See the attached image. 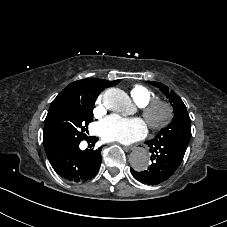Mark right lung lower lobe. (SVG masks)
Here are the masks:
<instances>
[{
	"label": "right lung lower lobe",
	"mask_w": 227,
	"mask_h": 227,
	"mask_svg": "<svg viewBox=\"0 0 227 227\" xmlns=\"http://www.w3.org/2000/svg\"><path fill=\"white\" fill-rule=\"evenodd\" d=\"M85 139L95 142L97 138ZM80 142L66 144L47 153L54 170L63 178L74 182L93 178L100 168L102 159L101 147L97 150L82 151L79 149Z\"/></svg>",
	"instance_id": "98d812e1"
}]
</instances>
